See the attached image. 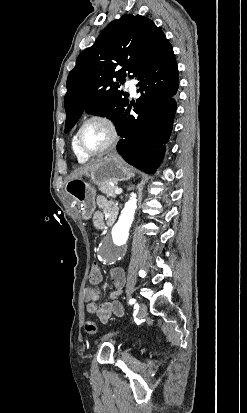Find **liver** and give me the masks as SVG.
<instances>
[{"label": "liver", "mask_w": 247, "mask_h": 413, "mask_svg": "<svg viewBox=\"0 0 247 413\" xmlns=\"http://www.w3.org/2000/svg\"><path fill=\"white\" fill-rule=\"evenodd\" d=\"M99 160H96V162H89V164H83V166H79V168H75L73 172H71L70 176H68L69 180L71 178H80L82 174H85V172H89V170H92L94 168L95 164H98Z\"/></svg>", "instance_id": "6515ba94"}]
</instances>
